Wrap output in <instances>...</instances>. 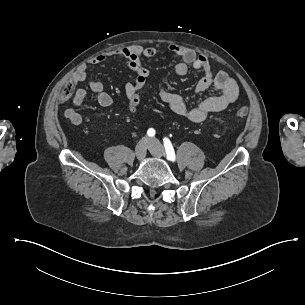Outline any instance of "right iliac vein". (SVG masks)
<instances>
[{
  "instance_id": "right-iliac-vein-1",
  "label": "right iliac vein",
  "mask_w": 305,
  "mask_h": 305,
  "mask_svg": "<svg viewBox=\"0 0 305 305\" xmlns=\"http://www.w3.org/2000/svg\"><path fill=\"white\" fill-rule=\"evenodd\" d=\"M148 142L145 138L141 139L135 147V155L139 160H142L147 151Z\"/></svg>"
}]
</instances>
